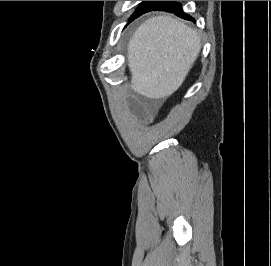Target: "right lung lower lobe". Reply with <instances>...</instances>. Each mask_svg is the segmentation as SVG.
<instances>
[{
	"label": "right lung lower lobe",
	"mask_w": 271,
	"mask_h": 266,
	"mask_svg": "<svg viewBox=\"0 0 271 266\" xmlns=\"http://www.w3.org/2000/svg\"><path fill=\"white\" fill-rule=\"evenodd\" d=\"M149 11H167L175 13V15L194 22V19L183 12L181 4L175 1H161L154 8ZM147 11V12H149ZM146 13V12H145Z\"/></svg>",
	"instance_id": "1"
}]
</instances>
